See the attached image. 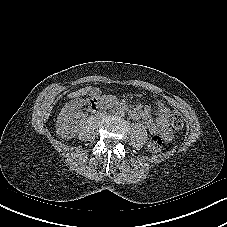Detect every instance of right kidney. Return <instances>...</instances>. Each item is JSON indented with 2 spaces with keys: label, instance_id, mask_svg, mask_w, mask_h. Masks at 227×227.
<instances>
[{
  "label": "right kidney",
  "instance_id": "1",
  "mask_svg": "<svg viewBox=\"0 0 227 227\" xmlns=\"http://www.w3.org/2000/svg\"><path fill=\"white\" fill-rule=\"evenodd\" d=\"M74 103H70L65 105L63 110L60 113V116L58 118L60 125L64 128L68 127V122L71 120V117L73 115L74 111Z\"/></svg>",
  "mask_w": 227,
  "mask_h": 227
}]
</instances>
